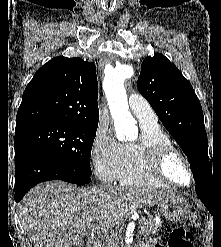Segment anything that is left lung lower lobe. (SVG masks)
I'll use <instances>...</instances> for the list:
<instances>
[{"instance_id":"obj_1","label":"left lung lower lobe","mask_w":221,"mask_h":247,"mask_svg":"<svg viewBox=\"0 0 221 247\" xmlns=\"http://www.w3.org/2000/svg\"><path fill=\"white\" fill-rule=\"evenodd\" d=\"M195 190L198 197L209 211L212 208L216 195H221V186L217 190L215 188L214 182H209L207 184H197L195 186Z\"/></svg>"}]
</instances>
